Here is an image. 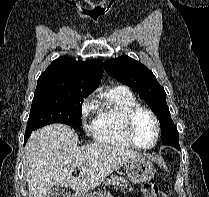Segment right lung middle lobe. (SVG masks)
<instances>
[{
  "label": "right lung middle lobe",
  "instance_id": "right-lung-middle-lobe-1",
  "mask_svg": "<svg viewBox=\"0 0 209 197\" xmlns=\"http://www.w3.org/2000/svg\"><path fill=\"white\" fill-rule=\"evenodd\" d=\"M92 92L75 84L37 83L26 132L51 123L81 127L83 99Z\"/></svg>",
  "mask_w": 209,
  "mask_h": 197
}]
</instances>
